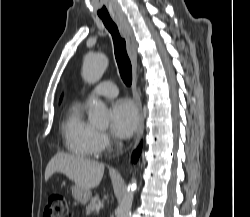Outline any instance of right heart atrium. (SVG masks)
I'll return each instance as SVG.
<instances>
[{
  "mask_svg": "<svg viewBox=\"0 0 250 217\" xmlns=\"http://www.w3.org/2000/svg\"><path fill=\"white\" fill-rule=\"evenodd\" d=\"M113 140L110 137L109 134L105 132H98L97 134V140H96V146L98 152H105L110 150L112 147Z\"/></svg>",
  "mask_w": 250,
  "mask_h": 217,
  "instance_id": "1",
  "label": "right heart atrium"
}]
</instances>
